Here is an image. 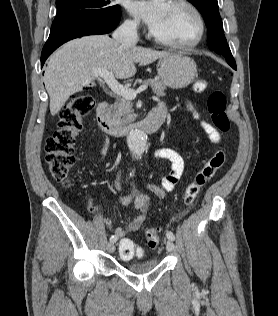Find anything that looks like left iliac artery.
<instances>
[{
    "mask_svg": "<svg viewBox=\"0 0 278 316\" xmlns=\"http://www.w3.org/2000/svg\"><path fill=\"white\" fill-rule=\"evenodd\" d=\"M166 235H167V238L171 241H173L175 239V236H174L173 232H171V231H167Z\"/></svg>",
    "mask_w": 278,
    "mask_h": 316,
    "instance_id": "obj_1",
    "label": "left iliac artery"
}]
</instances>
